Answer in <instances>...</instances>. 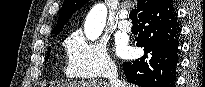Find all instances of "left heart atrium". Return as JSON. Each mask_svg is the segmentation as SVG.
I'll use <instances>...</instances> for the list:
<instances>
[{
	"instance_id": "1",
	"label": "left heart atrium",
	"mask_w": 205,
	"mask_h": 87,
	"mask_svg": "<svg viewBox=\"0 0 205 87\" xmlns=\"http://www.w3.org/2000/svg\"><path fill=\"white\" fill-rule=\"evenodd\" d=\"M126 52H127V49L125 48V46L124 45H120L119 46V53L123 55Z\"/></svg>"
}]
</instances>
